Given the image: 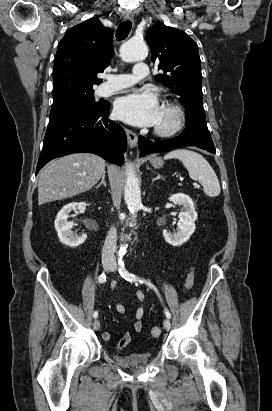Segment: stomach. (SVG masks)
I'll list each match as a JSON object with an SVG mask.
<instances>
[{
	"mask_svg": "<svg viewBox=\"0 0 272 411\" xmlns=\"http://www.w3.org/2000/svg\"><path fill=\"white\" fill-rule=\"evenodd\" d=\"M150 162L154 168H161L164 164L162 158L160 157H153L150 159Z\"/></svg>",
	"mask_w": 272,
	"mask_h": 411,
	"instance_id": "0dacf381",
	"label": "stomach"
}]
</instances>
